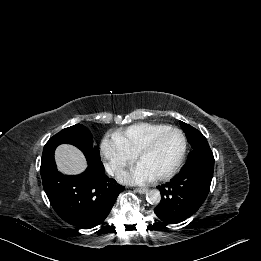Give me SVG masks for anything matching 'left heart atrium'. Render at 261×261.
I'll return each mask as SVG.
<instances>
[{"instance_id":"39dd6f15","label":"left heart atrium","mask_w":261,"mask_h":261,"mask_svg":"<svg viewBox=\"0 0 261 261\" xmlns=\"http://www.w3.org/2000/svg\"><path fill=\"white\" fill-rule=\"evenodd\" d=\"M155 178L154 174L151 173L147 168H145L142 164L138 163L132 171L128 172L125 175V179L136 183V184H144L152 181Z\"/></svg>"}]
</instances>
